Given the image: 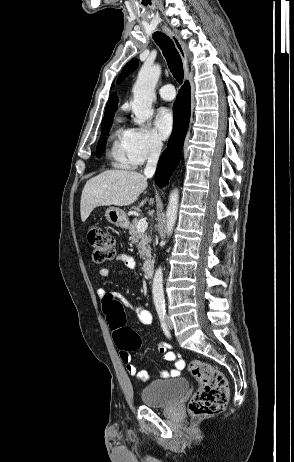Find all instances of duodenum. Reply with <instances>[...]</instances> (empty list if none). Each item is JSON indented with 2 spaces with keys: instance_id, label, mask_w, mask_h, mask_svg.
Segmentation results:
<instances>
[{
  "instance_id": "1",
  "label": "duodenum",
  "mask_w": 294,
  "mask_h": 462,
  "mask_svg": "<svg viewBox=\"0 0 294 462\" xmlns=\"http://www.w3.org/2000/svg\"><path fill=\"white\" fill-rule=\"evenodd\" d=\"M143 271L145 275L152 276L154 272V262L151 259H147L143 263Z\"/></svg>"
}]
</instances>
